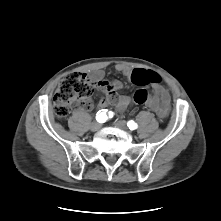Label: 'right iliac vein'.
Wrapping results in <instances>:
<instances>
[{
  "mask_svg": "<svg viewBox=\"0 0 221 221\" xmlns=\"http://www.w3.org/2000/svg\"><path fill=\"white\" fill-rule=\"evenodd\" d=\"M100 128H101V124L97 121L93 122L90 125V130L93 131V132L98 131Z\"/></svg>",
  "mask_w": 221,
  "mask_h": 221,
  "instance_id": "63e3f726",
  "label": "right iliac vein"
}]
</instances>
